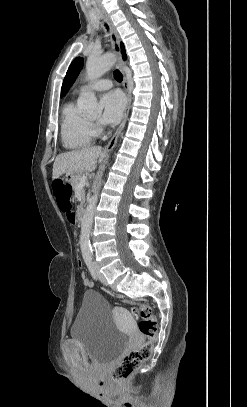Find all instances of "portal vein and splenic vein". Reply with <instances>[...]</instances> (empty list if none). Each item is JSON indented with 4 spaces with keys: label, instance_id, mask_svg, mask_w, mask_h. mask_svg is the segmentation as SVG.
<instances>
[{
    "label": "portal vein and splenic vein",
    "instance_id": "obj_1",
    "mask_svg": "<svg viewBox=\"0 0 247 407\" xmlns=\"http://www.w3.org/2000/svg\"><path fill=\"white\" fill-rule=\"evenodd\" d=\"M86 181H87V177L83 176L80 180L78 187L82 188L85 185Z\"/></svg>",
    "mask_w": 247,
    "mask_h": 407
}]
</instances>
